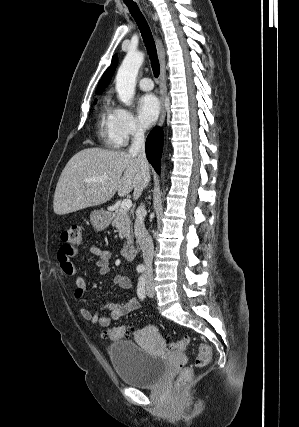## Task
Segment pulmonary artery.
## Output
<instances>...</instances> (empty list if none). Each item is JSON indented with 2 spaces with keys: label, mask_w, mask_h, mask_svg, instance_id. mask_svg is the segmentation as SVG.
Instances as JSON below:
<instances>
[{
  "label": "pulmonary artery",
  "mask_w": 299,
  "mask_h": 427,
  "mask_svg": "<svg viewBox=\"0 0 299 427\" xmlns=\"http://www.w3.org/2000/svg\"><path fill=\"white\" fill-rule=\"evenodd\" d=\"M138 85L140 89L144 91H150L153 89V82L149 77H143L139 80Z\"/></svg>",
  "instance_id": "1"
}]
</instances>
